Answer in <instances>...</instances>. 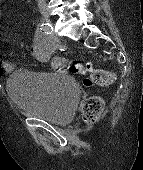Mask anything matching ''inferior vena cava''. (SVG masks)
Masks as SVG:
<instances>
[{
    "label": "inferior vena cava",
    "mask_w": 143,
    "mask_h": 170,
    "mask_svg": "<svg viewBox=\"0 0 143 170\" xmlns=\"http://www.w3.org/2000/svg\"><path fill=\"white\" fill-rule=\"evenodd\" d=\"M38 6L41 11L46 10V1L45 0H38Z\"/></svg>",
    "instance_id": "inferior-vena-cava-1"
}]
</instances>
